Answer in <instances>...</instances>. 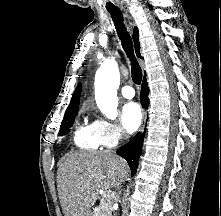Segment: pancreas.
Returning a JSON list of instances; mask_svg holds the SVG:
<instances>
[{"mask_svg":"<svg viewBox=\"0 0 221 216\" xmlns=\"http://www.w3.org/2000/svg\"><path fill=\"white\" fill-rule=\"evenodd\" d=\"M106 198H102L100 205L95 208L93 216H111V205Z\"/></svg>","mask_w":221,"mask_h":216,"instance_id":"pancreas-1","label":"pancreas"}]
</instances>
